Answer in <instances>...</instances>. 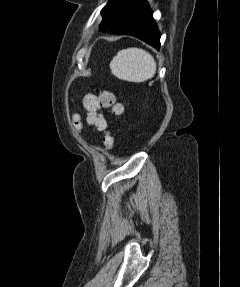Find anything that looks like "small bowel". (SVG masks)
I'll list each match as a JSON object with an SVG mask.
<instances>
[{"label": "small bowel", "mask_w": 240, "mask_h": 287, "mask_svg": "<svg viewBox=\"0 0 240 287\" xmlns=\"http://www.w3.org/2000/svg\"><path fill=\"white\" fill-rule=\"evenodd\" d=\"M83 107L86 110L87 124L96 131L102 132L107 128V120L101 112L102 106L95 94H86L83 98Z\"/></svg>", "instance_id": "1"}]
</instances>
